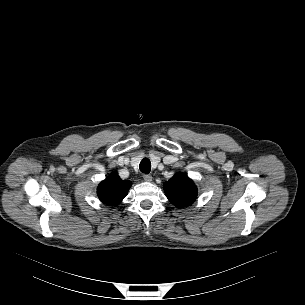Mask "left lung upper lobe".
I'll return each mask as SVG.
<instances>
[{
    "label": "left lung upper lobe",
    "instance_id": "left-lung-upper-lobe-1",
    "mask_svg": "<svg viewBox=\"0 0 305 305\" xmlns=\"http://www.w3.org/2000/svg\"><path fill=\"white\" fill-rule=\"evenodd\" d=\"M164 191L171 203L178 207L192 204L197 197V187L191 179L182 174H176L165 182Z\"/></svg>",
    "mask_w": 305,
    "mask_h": 305
}]
</instances>
